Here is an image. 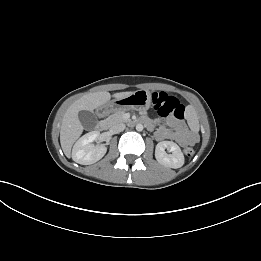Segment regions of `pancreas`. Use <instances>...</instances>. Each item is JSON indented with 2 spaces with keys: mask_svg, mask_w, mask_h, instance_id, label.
I'll return each instance as SVG.
<instances>
[{
  "mask_svg": "<svg viewBox=\"0 0 261 261\" xmlns=\"http://www.w3.org/2000/svg\"><path fill=\"white\" fill-rule=\"evenodd\" d=\"M124 114H125V111L122 110V111H117L113 114H111L108 118H106L105 122L111 126L115 123H119V122H125L127 121V119L124 118Z\"/></svg>",
  "mask_w": 261,
  "mask_h": 261,
  "instance_id": "pancreas-1",
  "label": "pancreas"
}]
</instances>
